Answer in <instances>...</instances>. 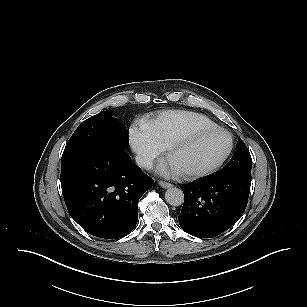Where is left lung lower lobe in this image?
I'll return each instance as SVG.
<instances>
[{
	"label": "left lung lower lobe",
	"instance_id": "left-lung-lower-lobe-1",
	"mask_svg": "<svg viewBox=\"0 0 307 307\" xmlns=\"http://www.w3.org/2000/svg\"><path fill=\"white\" fill-rule=\"evenodd\" d=\"M251 174L208 176L181 185L185 200L178 217L182 229L200 238H213L231 227L244 213Z\"/></svg>",
	"mask_w": 307,
	"mask_h": 307
}]
</instances>
